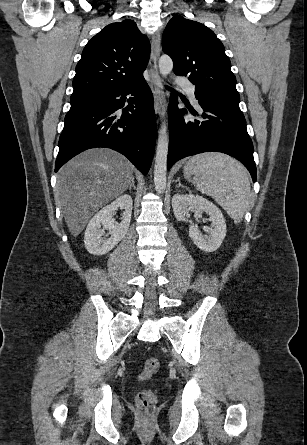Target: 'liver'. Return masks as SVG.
I'll list each match as a JSON object with an SVG mask.
<instances>
[{"mask_svg": "<svg viewBox=\"0 0 307 445\" xmlns=\"http://www.w3.org/2000/svg\"><path fill=\"white\" fill-rule=\"evenodd\" d=\"M133 164L111 148H89L59 170L55 198L73 237L85 229L91 216L127 190Z\"/></svg>", "mask_w": 307, "mask_h": 445, "instance_id": "6515ba94", "label": "liver"}]
</instances>
